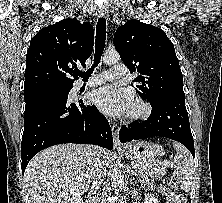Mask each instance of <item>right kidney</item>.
<instances>
[{"label":"right kidney","mask_w":222,"mask_h":203,"mask_svg":"<svg viewBox=\"0 0 222 203\" xmlns=\"http://www.w3.org/2000/svg\"><path fill=\"white\" fill-rule=\"evenodd\" d=\"M70 203H83L82 199L81 198H74L71 200Z\"/></svg>","instance_id":"obj_1"}]
</instances>
